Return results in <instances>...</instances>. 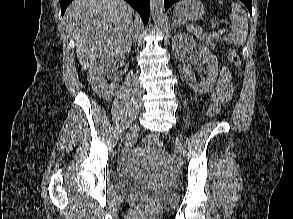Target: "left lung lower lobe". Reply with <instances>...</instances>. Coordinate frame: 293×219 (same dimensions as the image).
<instances>
[{"instance_id":"0a47b994","label":"left lung lower lobe","mask_w":293,"mask_h":219,"mask_svg":"<svg viewBox=\"0 0 293 219\" xmlns=\"http://www.w3.org/2000/svg\"><path fill=\"white\" fill-rule=\"evenodd\" d=\"M177 1H179V0H164L165 11H167V9ZM241 1L246 5V7L248 8L250 14H252V12H251L252 0H241Z\"/></svg>"}]
</instances>
